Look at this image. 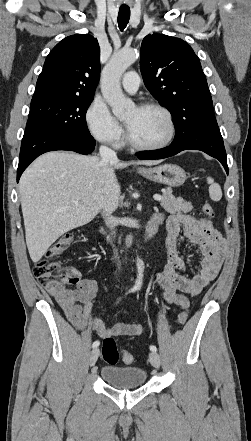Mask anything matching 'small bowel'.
<instances>
[{
	"instance_id": "1",
	"label": "small bowel",
	"mask_w": 251,
	"mask_h": 441,
	"mask_svg": "<svg viewBox=\"0 0 251 441\" xmlns=\"http://www.w3.org/2000/svg\"><path fill=\"white\" fill-rule=\"evenodd\" d=\"M167 229V264L163 271L154 274L156 283L163 291V298L180 309L189 306L187 295H198L218 275L224 257L225 241L214 225L200 217L189 214H175L164 217ZM183 237L188 247H196L203 258L198 272L186 277L187 264L179 252V240ZM72 325L87 332H94L102 338L114 336H138L144 328L137 323H117L107 327L102 320L92 315L93 300L98 292V284L93 279H80L75 288L47 287Z\"/></svg>"
}]
</instances>
